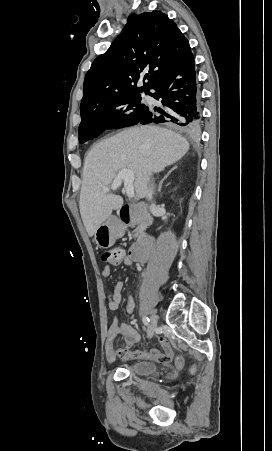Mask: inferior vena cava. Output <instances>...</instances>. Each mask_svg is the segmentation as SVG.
<instances>
[{"label":"inferior vena cava","instance_id":"obj_1","mask_svg":"<svg viewBox=\"0 0 272 451\" xmlns=\"http://www.w3.org/2000/svg\"><path fill=\"white\" fill-rule=\"evenodd\" d=\"M153 194H154L153 184H149V188H148L147 194H146L147 200H152ZM153 206H154V204H152V206H150V208H153Z\"/></svg>","mask_w":272,"mask_h":451}]
</instances>
